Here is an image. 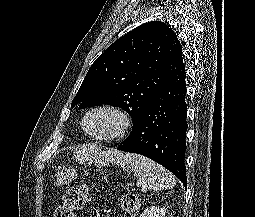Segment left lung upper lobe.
<instances>
[{"mask_svg": "<svg viewBox=\"0 0 255 217\" xmlns=\"http://www.w3.org/2000/svg\"><path fill=\"white\" fill-rule=\"evenodd\" d=\"M182 46L165 23L140 25L112 43L92 64L71 107L104 103L126 110L133 127L161 88L183 67Z\"/></svg>", "mask_w": 255, "mask_h": 217, "instance_id": "1", "label": "left lung upper lobe"}]
</instances>
